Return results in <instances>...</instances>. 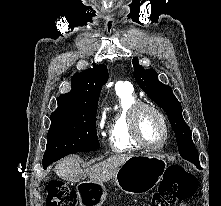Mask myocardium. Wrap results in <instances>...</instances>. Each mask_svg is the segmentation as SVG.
I'll return each instance as SVG.
<instances>
[{"label":"myocardium","instance_id":"1","mask_svg":"<svg viewBox=\"0 0 221 206\" xmlns=\"http://www.w3.org/2000/svg\"><path fill=\"white\" fill-rule=\"evenodd\" d=\"M143 110H149L153 112L155 115L158 116V118L160 119L162 123L164 135H163L162 141L157 145H150L146 143L141 135L140 128H139V117H140V113ZM129 124H130L132 138L141 148L146 149V150L156 151V150L162 149L167 143V140L169 137L168 122L163 112L155 105H152L146 102L135 103L132 106L131 111H130Z\"/></svg>","mask_w":221,"mask_h":206}]
</instances>
